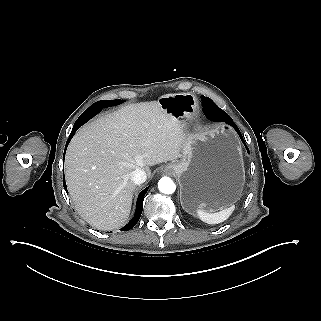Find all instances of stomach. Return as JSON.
I'll return each instance as SVG.
<instances>
[{
  "instance_id": "stomach-1",
  "label": "stomach",
  "mask_w": 321,
  "mask_h": 321,
  "mask_svg": "<svg viewBox=\"0 0 321 321\" xmlns=\"http://www.w3.org/2000/svg\"><path fill=\"white\" fill-rule=\"evenodd\" d=\"M159 103L167 113L182 119L194 113L197 99L190 93L169 94ZM172 166L180 184L182 208L192 216L198 210H222L241 196L245 183L242 150L227 125L186 139L181 160Z\"/></svg>"
}]
</instances>
